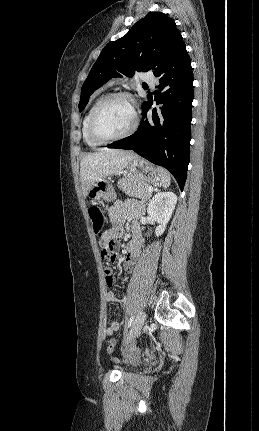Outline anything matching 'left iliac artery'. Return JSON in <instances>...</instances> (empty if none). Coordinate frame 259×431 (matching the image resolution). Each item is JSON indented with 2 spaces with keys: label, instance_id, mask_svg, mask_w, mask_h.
Returning a JSON list of instances; mask_svg holds the SVG:
<instances>
[{
  "label": "left iliac artery",
  "instance_id": "44dca946",
  "mask_svg": "<svg viewBox=\"0 0 259 431\" xmlns=\"http://www.w3.org/2000/svg\"><path fill=\"white\" fill-rule=\"evenodd\" d=\"M133 320H134V317H133V316H131V317H130V319L128 320L127 324H126V328H127V329L132 325Z\"/></svg>",
  "mask_w": 259,
  "mask_h": 431
}]
</instances>
